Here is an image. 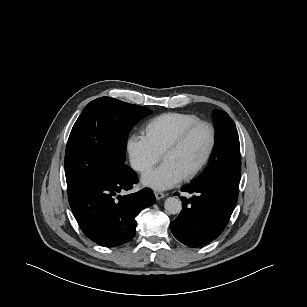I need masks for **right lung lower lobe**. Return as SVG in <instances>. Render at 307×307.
<instances>
[{"label":"right lung lower lobe","instance_id":"obj_1","mask_svg":"<svg viewBox=\"0 0 307 307\" xmlns=\"http://www.w3.org/2000/svg\"><path fill=\"white\" fill-rule=\"evenodd\" d=\"M138 182L128 166L69 196V203L83 233L95 243L115 247L130 241L136 233L135 217L155 202L152 191L144 188L120 196Z\"/></svg>","mask_w":307,"mask_h":307}]
</instances>
